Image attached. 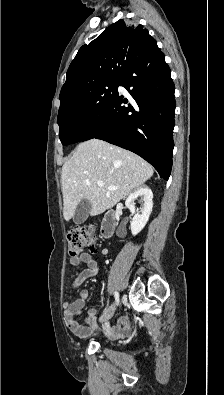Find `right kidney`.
I'll return each instance as SVG.
<instances>
[{"label":"right kidney","mask_w":224,"mask_h":395,"mask_svg":"<svg viewBox=\"0 0 224 395\" xmlns=\"http://www.w3.org/2000/svg\"><path fill=\"white\" fill-rule=\"evenodd\" d=\"M140 198L142 202V208L139 212H136L134 201ZM153 193L148 187H140L131 193L125 201L126 207L134 215L131 222V232L132 235H137L147 224L149 216L152 212Z\"/></svg>","instance_id":"ca27d5eb"}]
</instances>
